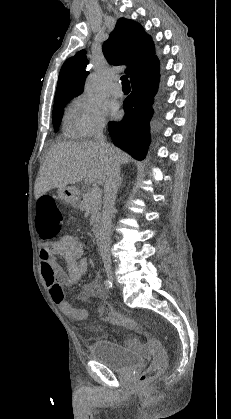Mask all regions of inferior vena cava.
<instances>
[{"label":"inferior vena cava","instance_id":"obj_1","mask_svg":"<svg viewBox=\"0 0 231 419\" xmlns=\"http://www.w3.org/2000/svg\"><path fill=\"white\" fill-rule=\"evenodd\" d=\"M104 126H100L95 135L94 140L109 156V166L104 183V200L103 211L99 230V251L105 266L111 265L110 243H111V225L114 213V204L117 191L120 185V165L114 159L112 152L107 148L106 140L103 135Z\"/></svg>","mask_w":231,"mask_h":419}]
</instances>
